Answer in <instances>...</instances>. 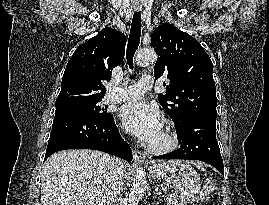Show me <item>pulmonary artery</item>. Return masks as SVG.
<instances>
[{"label": "pulmonary artery", "mask_w": 269, "mask_h": 205, "mask_svg": "<svg viewBox=\"0 0 269 205\" xmlns=\"http://www.w3.org/2000/svg\"><path fill=\"white\" fill-rule=\"evenodd\" d=\"M152 85L153 79L151 77H142L135 85L126 88L111 87L109 93L104 98V102L113 103L138 99L151 89Z\"/></svg>", "instance_id": "pulmonary-artery-1"}]
</instances>
